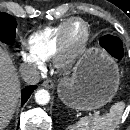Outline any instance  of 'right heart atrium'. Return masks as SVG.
Returning <instances> with one entry per match:
<instances>
[{
  "label": "right heart atrium",
  "mask_w": 130,
  "mask_h": 130,
  "mask_svg": "<svg viewBox=\"0 0 130 130\" xmlns=\"http://www.w3.org/2000/svg\"><path fill=\"white\" fill-rule=\"evenodd\" d=\"M19 57L21 59V61L23 63H26V64H30V65H34L36 66L38 69H41L42 68V64L41 62H39L38 60H36L34 57H32L30 54L28 53H25V52H21L19 54Z\"/></svg>",
  "instance_id": "obj_1"
}]
</instances>
